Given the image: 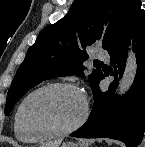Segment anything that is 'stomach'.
Segmentation results:
<instances>
[{
	"mask_svg": "<svg viewBox=\"0 0 145 147\" xmlns=\"http://www.w3.org/2000/svg\"><path fill=\"white\" fill-rule=\"evenodd\" d=\"M61 147H86V146L84 142H78V143L66 142Z\"/></svg>",
	"mask_w": 145,
	"mask_h": 147,
	"instance_id": "obj_1",
	"label": "stomach"
}]
</instances>
